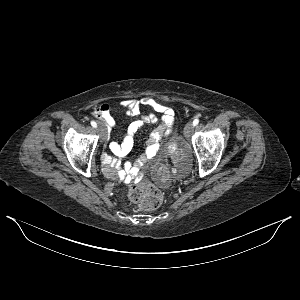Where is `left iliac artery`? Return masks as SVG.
I'll list each match as a JSON object with an SVG mask.
<instances>
[{
    "label": "left iliac artery",
    "mask_w": 300,
    "mask_h": 300,
    "mask_svg": "<svg viewBox=\"0 0 300 300\" xmlns=\"http://www.w3.org/2000/svg\"><path fill=\"white\" fill-rule=\"evenodd\" d=\"M198 123H199V119L195 118L194 121H193V125L196 126Z\"/></svg>",
    "instance_id": "1"
}]
</instances>
